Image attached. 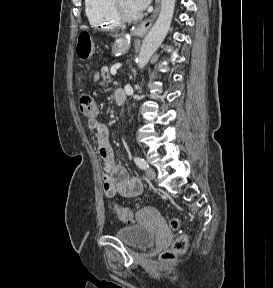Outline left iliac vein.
I'll list each match as a JSON object with an SVG mask.
<instances>
[{
	"instance_id": "1",
	"label": "left iliac vein",
	"mask_w": 273,
	"mask_h": 288,
	"mask_svg": "<svg viewBox=\"0 0 273 288\" xmlns=\"http://www.w3.org/2000/svg\"><path fill=\"white\" fill-rule=\"evenodd\" d=\"M145 173L147 178L150 180H154L156 177V171L153 168H147Z\"/></svg>"
}]
</instances>
